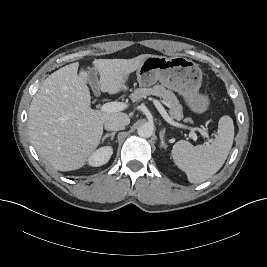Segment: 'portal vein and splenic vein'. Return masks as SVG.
I'll use <instances>...</instances> for the list:
<instances>
[{
	"label": "portal vein and splenic vein",
	"instance_id": "1",
	"mask_svg": "<svg viewBox=\"0 0 267 267\" xmlns=\"http://www.w3.org/2000/svg\"><path fill=\"white\" fill-rule=\"evenodd\" d=\"M155 106L157 107L158 111L160 112V114L163 116V118L171 125L176 126V127H184L183 125L175 122L172 118L169 117L168 113L166 112V110L164 109V107L161 105L159 100L154 99L153 100ZM127 108V105L123 102H109V103H105L101 106V111L102 112H119L122 111L124 109ZM199 131L201 135H203L204 137H208V134L206 132H204L202 129L200 128H193L192 131ZM193 139L196 140L197 137L194 134L193 135Z\"/></svg>",
	"mask_w": 267,
	"mask_h": 267
}]
</instances>
